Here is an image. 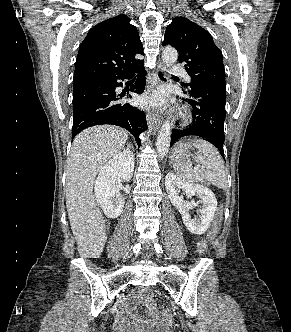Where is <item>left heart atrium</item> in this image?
<instances>
[{
	"label": "left heart atrium",
	"mask_w": 291,
	"mask_h": 332,
	"mask_svg": "<svg viewBox=\"0 0 291 332\" xmlns=\"http://www.w3.org/2000/svg\"><path fill=\"white\" fill-rule=\"evenodd\" d=\"M168 96L163 90L157 91L151 96H146L141 99L142 104L151 105L155 107H163L167 104Z\"/></svg>",
	"instance_id": "left-heart-atrium-1"
}]
</instances>
